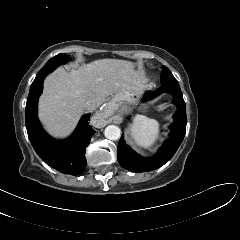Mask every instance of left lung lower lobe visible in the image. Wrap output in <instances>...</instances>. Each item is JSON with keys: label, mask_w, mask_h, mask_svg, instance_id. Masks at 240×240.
<instances>
[{"label": "left lung lower lobe", "mask_w": 240, "mask_h": 240, "mask_svg": "<svg viewBox=\"0 0 240 240\" xmlns=\"http://www.w3.org/2000/svg\"><path fill=\"white\" fill-rule=\"evenodd\" d=\"M162 92H168L173 95V103L178 109L174 114V123L170 126V138L165 141L164 146L159 149L154 158H144L136 154L121 137L118 149L117 159L119 164L132 172H145L155 170L164 165L172 156L183 141L186 132V107L180 90L179 84H162ZM155 96L153 92H147L145 99H151Z\"/></svg>", "instance_id": "obj_1"}]
</instances>
